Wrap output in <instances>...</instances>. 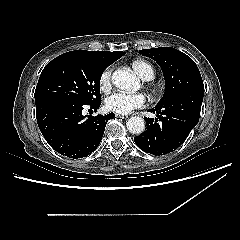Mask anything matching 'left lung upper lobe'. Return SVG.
<instances>
[{
	"instance_id": "5c2ea615",
	"label": "left lung upper lobe",
	"mask_w": 240,
	"mask_h": 240,
	"mask_svg": "<svg viewBox=\"0 0 240 240\" xmlns=\"http://www.w3.org/2000/svg\"><path fill=\"white\" fill-rule=\"evenodd\" d=\"M139 53L155 60L164 74L166 90L156 106L180 93L204 88L197 65L183 52L171 47H160L140 50Z\"/></svg>"
}]
</instances>
